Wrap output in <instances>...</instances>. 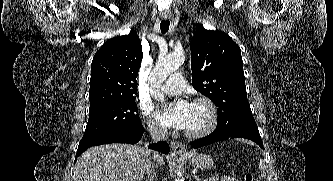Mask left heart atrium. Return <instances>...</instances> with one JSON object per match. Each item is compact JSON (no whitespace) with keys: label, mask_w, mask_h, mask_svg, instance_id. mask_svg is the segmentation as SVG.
<instances>
[{"label":"left heart atrium","mask_w":333,"mask_h":181,"mask_svg":"<svg viewBox=\"0 0 333 181\" xmlns=\"http://www.w3.org/2000/svg\"><path fill=\"white\" fill-rule=\"evenodd\" d=\"M191 105L184 99L162 107L157 112L158 120L166 125L178 129H186L191 119Z\"/></svg>","instance_id":"39dd6f15"}]
</instances>
